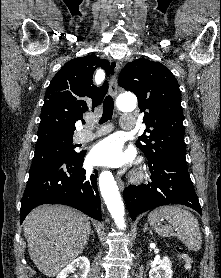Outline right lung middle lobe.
I'll list each match as a JSON object with an SVG mask.
<instances>
[{
  "label": "right lung middle lobe",
  "instance_id": "obj_1",
  "mask_svg": "<svg viewBox=\"0 0 221 278\" xmlns=\"http://www.w3.org/2000/svg\"><path fill=\"white\" fill-rule=\"evenodd\" d=\"M73 136L36 143V150L30 172L58 160H65L79 155L72 145Z\"/></svg>",
  "mask_w": 221,
  "mask_h": 278
}]
</instances>
